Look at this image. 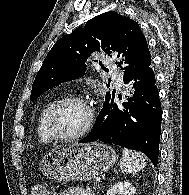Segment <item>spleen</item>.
I'll return each instance as SVG.
<instances>
[{
  "mask_svg": "<svg viewBox=\"0 0 189 195\" xmlns=\"http://www.w3.org/2000/svg\"><path fill=\"white\" fill-rule=\"evenodd\" d=\"M146 166L143 156L135 151L123 149L120 168L125 173H134L142 170Z\"/></svg>",
  "mask_w": 189,
  "mask_h": 195,
  "instance_id": "1",
  "label": "spleen"
}]
</instances>
